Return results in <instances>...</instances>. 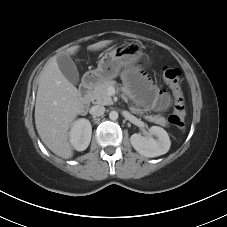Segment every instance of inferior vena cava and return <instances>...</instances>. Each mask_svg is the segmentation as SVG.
<instances>
[{
    "instance_id": "1",
    "label": "inferior vena cava",
    "mask_w": 227,
    "mask_h": 227,
    "mask_svg": "<svg viewBox=\"0 0 227 227\" xmlns=\"http://www.w3.org/2000/svg\"><path fill=\"white\" fill-rule=\"evenodd\" d=\"M105 112V107L102 105H95L91 107L90 114L93 116H102Z\"/></svg>"
}]
</instances>
